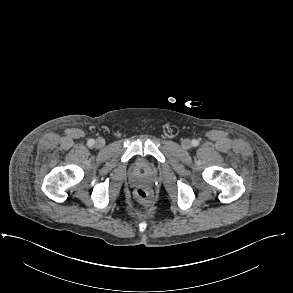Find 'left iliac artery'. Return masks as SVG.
Wrapping results in <instances>:
<instances>
[{
    "label": "left iliac artery",
    "mask_w": 293,
    "mask_h": 293,
    "mask_svg": "<svg viewBox=\"0 0 293 293\" xmlns=\"http://www.w3.org/2000/svg\"><path fill=\"white\" fill-rule=\"evenodd\" d=\"M198 144H199L198 140H196V139L192 140V145L194 147L198 146Z\"/></svg>",
    "instance_id": "44dca946"
}]
</instances>
